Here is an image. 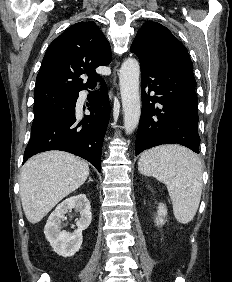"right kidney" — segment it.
<instances>
[{
	"label": "right kidney",
	"instance_id": "right-kidney-1",
	"mask_svg": "<svg viewBox=\"0 0 232 282\" xmlns=\"http://www.w3.org/2000/svg\"><path fill=\"white\" fill-rule=\"evenodd\" d=\"M75 209L80 213L76 222L77 229L72 232L61 230V223L68 211ZM92 220L91 206L85 194L65 199L51 213L44 228V234L53 250L63 257L73 256L82 245V231L87 229Z\"/></svg>",
	"mask_w": 232,
	"mask_h": 282
}]
</instances>
